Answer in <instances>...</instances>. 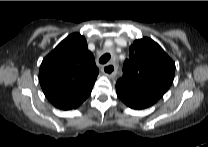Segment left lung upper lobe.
<instances>
[{
  "instance_id": "5c2ea615",
  "label": "left lung upper lobe",
  "mask_w": 208,
  "mask_h": 147,
  "mask_svg": "<svg viewBox=\"0 0 208 147\" xmlns=\"http://www.w3.org/2000/svg\"><path fill=\"white\" fill-rule=\"evenodd\" d=\"M129 51L117 84L161 98L173 82L175 63L150 38L134 41Z\"/></svg>"
}]
</instances>
